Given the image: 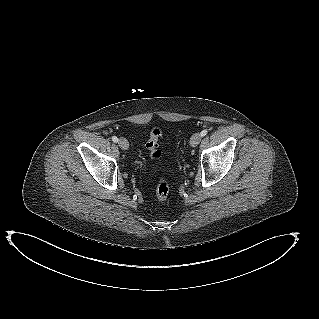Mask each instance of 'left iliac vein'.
Masks as SVG:
<instances>
[{
  "mask_svg": "<svg viewBox=\"0 0 319 319\" xmlns=\"http://www.w3.org/2000/svg\"><path fill=\"white\" fill-rule=\"evenodd\" d=\"M201 138H202V136L200 133L193 134V136L190 139V145L192 147H196L200 143Z\"/></svg>",
  "mask_w": 319,
  "mask_h": 319,
  "instance_id": "1",
  "label": "left iliac vein"
}]
</instances>
